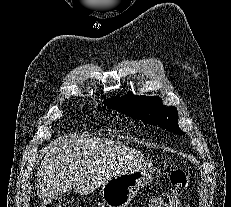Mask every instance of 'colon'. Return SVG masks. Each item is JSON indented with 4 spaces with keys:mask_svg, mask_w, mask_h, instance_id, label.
I'll use <instances>...</instances> for the list:
<instances>
[{
    "mask_svg": "<svg viewBox=\"0 0 231 207\" xmlns=\"http://www.w3.org/2000/svg\"><path fill=\"white\" fill-rule=\"evenodd\" d=\"M170 181L173 190L152 197L145 206L141 207H183V199L188 187V177L186 173L179 168L172 169ZM42 207H63L58 199H48Z\"/></svg>",
    "mask_w": 231,
    "mask_h": 207,
    "instance_id": "1",
    "label": "colon"
}]
</instances>
